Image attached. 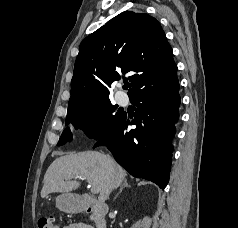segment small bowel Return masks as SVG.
<instances>
[{
    "mask_svg": "<svg viewBox=\"0 0 238 228\" xmlns=\"http://www.w3.org/2000/svg\"><path fill=\"white\" fill-rule=\"evenodd\" d=\"M63 228H91V227L81 222H73L64 226Z\"/></svg>",
    "mask_w": 238,
    "mask_h": 228,
    "instance_id": "small-bowel-1",
    "label": "small bowel"
}]
</instances>
